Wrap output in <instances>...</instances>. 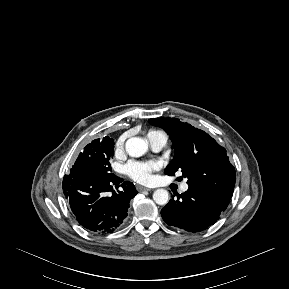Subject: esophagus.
Instances as JSON below:
<instances>
[{
  "instance_id": "obj_1",
  "label": "esophagus",
  "mask_w": 289,
  "mask_h": 289,
  "mask_svg": "<svg viewBox=\"0 0 289 289\" xmlns=\"http://www.w3.org/2000/svg\"><path fill=\"white\" fill-rule=\"evenodd\" d=\"M138 191H151L152 189L144 187V186H137Z\"/></svg>"
}]
</instances>
